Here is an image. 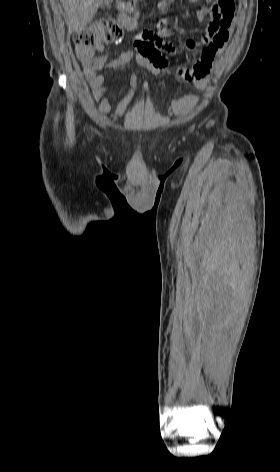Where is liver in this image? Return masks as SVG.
I'll return each mask as SVG.
<instances>
[{"instance_id": "liver-1", "label": "liver", "mask_w": 280, "mask_h": 472, "mask_svg": "<svg viewBox=\"0 0 280 472\" xmlns=\"http://www.w3.org/2000/svg\"><path fill=\"white\" fill-rule=\"evenodd\" d=\"M66 12V22L81 33L96 14L100 0H60Z\"/></svg>"}]
</instances>
